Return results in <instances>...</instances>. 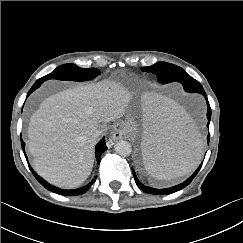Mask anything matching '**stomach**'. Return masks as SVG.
I'll return each mask as SVG.
<instances>
[{
	"instance_id": "0dacf381",
	"label": "stomach",
	"mask_w": 243,
	"mask_h": 243,
	"mask_svg": "<svg viewBox=\"0 0 243 243\" xmlns=\"http://www.w3.org/2000/svg\"><path fill=\"white\" fill-rule=\"evenodd\" d=\"M124 131L128 135H135L137 133V125L133 121H128L124 124Z\"/></svg>"
}]
</instances>
